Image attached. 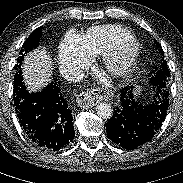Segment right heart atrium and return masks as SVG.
<instances>
[{
  "instance_id": "right-heart-atrium-1",
  "label": "right heart atrium",
  "mask_w": 183,
  "mask_h": 183,
  "mask_svg": "<svg viewBox=\"0 0 183 183\" xmlns=\"http://www.w3.org/2000/svg\"><path fill=\"white\" fill-rule=\"evenodd\" d=\"M58 60L62 70L74 66L84 68L89 63V57L75 34H70L63 40L59 48Z\"/></svg>"
}]
</instances>
